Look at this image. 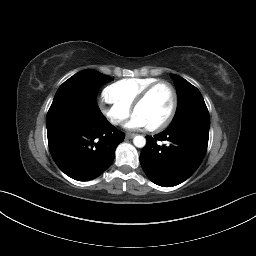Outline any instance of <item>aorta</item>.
Wrapping results in <instances>:
<instances>
[{
  "label": "aorta",
  "instance_id": "aorta-1",
  "mask_svg": "<svg viewBox=\"0 0 256 256\" xmlns=\"http://www.w3.org/2000/svg\"><path fill=\"white\" fill-rule=\"evenodd\" d=\"M133 144L138 148H143L146 144V139L143 136H135L133 139Z\"/></svg>",
  "mask_w": 256,
  "mask_h": 256
}]
</instances>
